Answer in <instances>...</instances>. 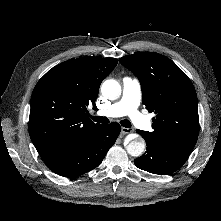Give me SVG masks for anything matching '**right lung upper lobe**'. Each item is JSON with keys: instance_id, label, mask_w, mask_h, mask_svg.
<instances>
[{"instance_id": "cb5924a9", "label": "right lung upper lobe", "mask_w": 221, "mask_h": 221, "mask_svg": "<svg viewBox=\"0 0 221 221\" xmlns=\"http://www.w3.org/2000/svg\"><path fill=\"white\" fill-rule=\"evenodd\" d=\"M115 58L81 57L50 69L31 96L30 138L42 158L89 138L101 125L87 116L99 87L117 65Z\"/></svg>"}]
</instances>
